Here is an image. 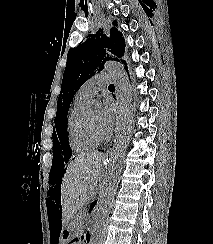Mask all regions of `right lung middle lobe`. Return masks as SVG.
<instances>
[{
    "label": "right lung middle lobe",
    "mask_w": 213,
    "mask_h": 244,
    "mask_svg": "<svg viewBox=\"0 0 213 244\" xmlns=\"http://www.w3.org/2000/svg\"><path fill=\"white\" fill-rule=\"evenodd\" d=\"M62 145V146H61ZM59 143L58 139L56 136H53V162H52V167L50 170V177L56 173L59 169L64 168V161H67L69 157L65 156V152L70 150L69 144H67V149H65V146L61 143ZM61 152L64 154L65 158L63 160V156L61 155Z\"/></svg>",
    "instance_id": "dd1d6c3e"
}]
</instances>
